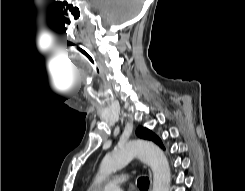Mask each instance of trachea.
I'll use <instances>...</instances> for the list:
<instances>
[{
    "instance_id": "trachea-1",
    "label": "trachea",
    "mask_w": 245,
    "mask_h": 191,
    "mask_svg": "<svg viewBox=\"0 0 245 191\" xmlns=\"http://www.w3.org/2000/svg\"><path fill=\"white\" fill-rule=\"evenodd\" d=\"M80 54L85 61H87L97 72H99L98 63L91 52L86 49H80ZM137 185L140 190H147L149 187V179L147 177H140L137 180Z\"/></svg>"
}]
</instances>
